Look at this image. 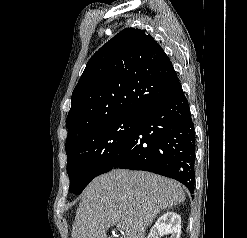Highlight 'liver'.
I'll return each instance as SVG.
<instances>
[{"instance_id":"liver-1","label":"liver","mask_w":247,"mask_h":238,"mask_svg":"<svg viewBox=\"0 0 247 238\" xmlns=\"http://www.w3.org/2000/svg\"><path fill=\"white\" fill-rule=\"evenodd\" d=\"M185 200L181 185L145 171L115 169L85 188L72 228V238H107L121 225V238H145L157 214Z\"/></svg>"}]
</instances>
